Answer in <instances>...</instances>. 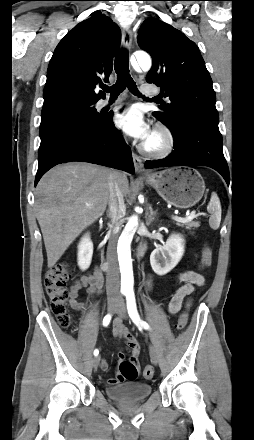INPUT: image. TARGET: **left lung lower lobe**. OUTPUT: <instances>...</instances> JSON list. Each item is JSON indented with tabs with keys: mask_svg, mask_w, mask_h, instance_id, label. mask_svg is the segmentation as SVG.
Instances as JSON below:
<instances>
[{
	"mask_svg": "<svg viewBox=\"0 0 254 440\" xmlns=\"http://www.w3.org/2000/svg\"><path fill=\"white\" fill-rule=\"evenodd\" d=\"M172 134V154L162 160L146 161L145 168L203 165L218 171L229 184V169L223 155L222 135L217 123L186 117L179 133Z\"/></svg>",
	"mask_w": 254,
	"mask_h": 440,
	"instance_id": "obj_1",
	"label": "left lung lower lobe"
}]
</instances>
